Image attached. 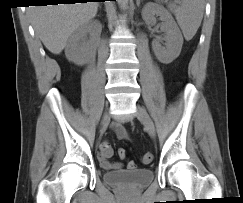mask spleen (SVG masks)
Masks as SVG:
<instances>
[{"label":"spleen","mask_w":243,"mask_h":203,"mask_svg":"<svg viewBox=\"0 0 243 203\" xmlns=\"http://www.w3.org/2000/svg\"><path fill=\"white\" fill-rule=\"evenodd\" d=\"M178 3L179 5L170 3L168 7L175 15L185 39L191 40L201 25L205 2L204 0H181Z\"/></svg>","instance_id":"3e777b00"}]
</instances>
